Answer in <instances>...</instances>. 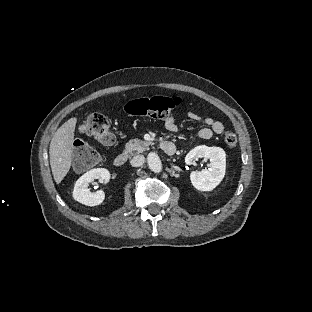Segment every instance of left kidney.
I'll use <instances>...</instances> for the list:
<instances>
[{"label": "left kidney", "instance_id": "obj_1", "mask_svg": "<svg viewBox=\"0 0 312 312\" xmlns=\"http://www.w3.org/2000/svg\"><path fill=\"white\" fill-rule=\"evenodd\" d=\"M199 158H209L208 169L191 173V184L199 192L214 190L223 180L226 172V153L220 147L196 146L186 156L185 162L194 165Z\"/></svg>", "mask_w": 312, "mask_h": 312}]
</instances>
